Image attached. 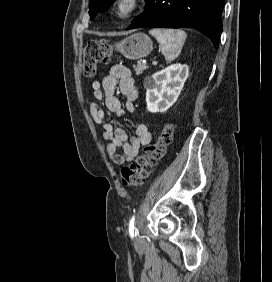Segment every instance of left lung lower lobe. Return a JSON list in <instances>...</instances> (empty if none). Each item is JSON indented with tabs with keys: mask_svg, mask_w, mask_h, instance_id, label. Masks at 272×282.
<instances>
[{
	"mask_svg": "<svg viewBox=\"0 0 272 282\" xmlns=\"http://www.w3.org/2000/svg\"><path fill=\"white\" fill-rule=\"evenodd\" d=\"M225 0H146V8L127 30L143 27H193L218 48Z\"/></svg>",
	"mask_w": 272,
	"mask_h": 282,
	"instance_id": "obj_1",
	"label": "left lung lower lobe"
}]
</instances>
